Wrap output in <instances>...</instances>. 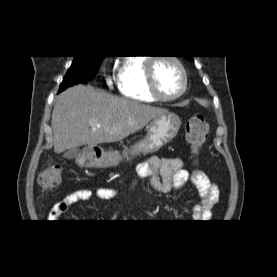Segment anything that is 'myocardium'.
<instances>
[{
	"instance_id": "myocardium-1",
	"label": "myocardium",
	"mask_w": 277,
	"mask_h": 277,
	"mask_svg": "<svg viewBox=\"0 0 277 277\" xmlns=\"http://www.w3.org/2000/svg\"><path fill=\"white\" fill-rule=\"evenodd\" d=\"M161 59L173 62L179 68V70L181 72L182 79H183V85H182L181 90L176 95L165 96L159 91V89L157 87L155 73H154V66H155L156 62ZM146 80H147V87H148L149 92L158 100L166 101V102L173 101V100L180 98L187 91L188 83H189L188 74H187V70H186L185 66L183 65L181 60L174 55H164V56L150 58V60L147 61V64H146Z\"/></svg>"
}]
</instances>
